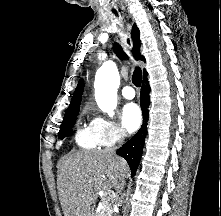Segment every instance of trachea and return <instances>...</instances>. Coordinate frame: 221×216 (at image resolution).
<instances>
[{
	"label": "trachea",
	"mask_w": 221,
	"mask_h": 216,
	"mask_svg": "<svg viewBox=\"0 0 221 216\" xmlns=\"http://www.w3.org/2000/svg\"><path fill=\"white\" fill-rule=\"evenodd\" d=\"M116 13L115 11H113ZM132 82L135 86L140 87L142 82V71L140 68H136L132 75Z\"/></svg>",
	"instance_id": "1"
}]
</instances>
